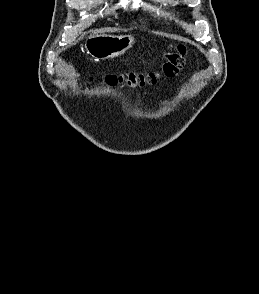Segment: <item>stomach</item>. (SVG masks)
Wrapping results in <instances>:
<instances>
[{
	"label": "stomach",
	"mask_w": 259,
	"mask_h": 294,
	"mask_svg": "<svg viewBox=\"0 0 259 294\" xmlns=\"http://www.w3.org/2000/svg\"><path fill=\"white\" fill-rule=\"evenodd\" d=\"M133 43L130 35L92 34L86 39L85 48L92 57L105 60L124 54Z\"/></svg>",
	"instance_id": "0dacf381"
}]
</instances>
